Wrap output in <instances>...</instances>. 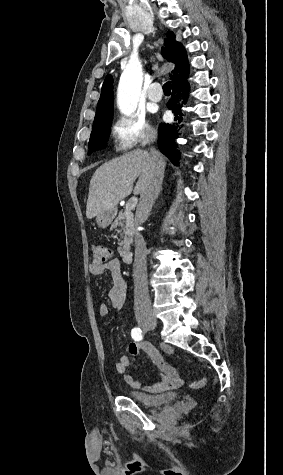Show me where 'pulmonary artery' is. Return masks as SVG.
I'll list each match as a JSON object with an SVG mask.
<instances>
[{
	"instance_id": "obj_1",
	"label": "pulmonary artery",
	"mask_w": 283,
	"mask_h": 475,
	"mask_svg": "<svg viewBox=\"0 0 283 475\" xmlns=\"http://www.w3.org/2000/svg\"><path fill=\"white\" fill-rule=\"evenodd\" d=\"M151 90L146 93V98L152 102H158L161 100V95L163 93V90L161 88V85L158 84L157 82H153L151 84ZM119 90H142V89H119Z\"/></svg>"
}]
</instances>
